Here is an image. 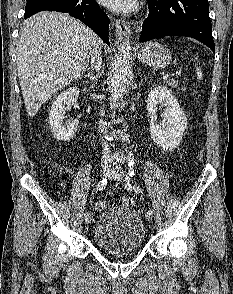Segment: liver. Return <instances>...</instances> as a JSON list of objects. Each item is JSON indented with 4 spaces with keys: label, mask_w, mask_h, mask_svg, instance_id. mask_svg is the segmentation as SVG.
I'll list each match as a JSON object with an SVG mask.
<instances>
[{
    "label": "liver",
    "mask_w": 233,
    "mask_h": 294,
    "mask_svg": "<svg viewBox=\"0 0 233 294\" xmlns=\"http://www.w3.org/2000/svg\"><path fill=\"white\" fill-rule=\"evenodd\" d=\"M102 41L86 25L59 12L26 22L17 47V72L30 117L57 91L81 78Z\"/></svg>",
    "instance_id": "obj_1"
}]
</instances>
